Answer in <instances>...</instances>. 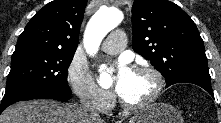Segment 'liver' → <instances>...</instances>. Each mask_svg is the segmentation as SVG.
<instances>
[{
    "label": "liver",
    "instance_id": "1",
    "mask_svg": "<svg viewBox=\"0 0 221 123\" xmlns=\"http://www.w3.org/2000/svg\"><path fill=\"white\" fill-rule=\"evenodd\" d=\"M0 123H104L88 120L79 107L51 100L24 101L10 106L0 116Z\"/></svg>",
    "mask_w": 221,
    "mask_h": 123
}]
</instances>
